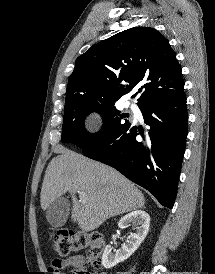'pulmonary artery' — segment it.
Masks as SVG:
<instances>
[{
	"label": "pulmonary artery",
	"mask_w": 215,
	"mask_h": 274,
	"mask_svg": "<svg viewBox=\"0 0 215 274\" xmlns=\"http://www.w3.org/2000/svg\"><path fill=\"white\" fill-rule=\"evenodd\" d=\"M130 107L133 109L135 108V104L134 103H130Z\"/></svg>",
	"instance_id": "1"
}]
</instances>
